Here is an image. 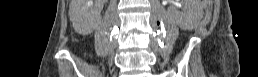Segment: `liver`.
<instances>
[{
    "mask_svg": "<svg viewBox=\"0 0 258 77\" xmlns=\"http://www.w3.org/2000/svg\"><path fill=\"white\" fill-rule=\"evenodd\" d=\"M87 0H71L69 7V15L72 22L81 24H89L92 21L90 12L85 9Z\"/></svg>",
    "mask_w": 258,
    "mask_h": 77,
    "instance_id": "liver-1",
    "label": "liver"
}]
</instances>
